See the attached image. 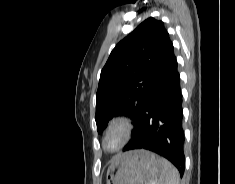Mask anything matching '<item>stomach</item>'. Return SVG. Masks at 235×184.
Returning a JSON list of instances; mask_svg holds the SVG:
<instances>
[{"label":"stomach","instance_id":"stomach-1","mask_svg":"<svg viewBox=\"0 0 235 184\" xmlns=\"http://www.w3.org/2000/svg\"><path fill=\"white\" fill-rule=\"evenodd\" d=\"M161 158L148 150H131L113 160L106 184H151L161 172Z\"/></svg>","mask_w":235,"mask_h":184}]
</instances>
